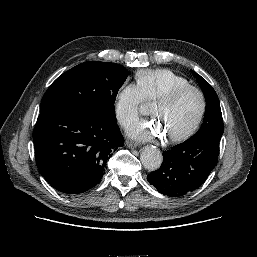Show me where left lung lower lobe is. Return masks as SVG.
Segmentation results:
<instances>
[{"label": "left lung lower lobe", "instance_id": "obj_1", "mask_svg": "<svg viewBox=\"0 0 257 257\" xmlns=\"http://www.w3.org/2000/svg\"><path fill=\"white\" fill-rule=\"evenodd\" d=\"M220 140H186L163 152L161 167L147 176L149 183L170 197L199 188L216 166Z\"/></svg>", "mask_w": 257, "mask_h": 257}]
</instances>
